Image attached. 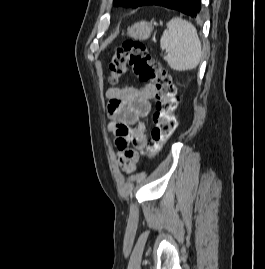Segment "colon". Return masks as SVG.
I'll return each instance as SVG.
<instances>
[{
    "label": "colon",
    "instance_id": "obj_1",
    "mask_svg": "<svg viewBox=\"0 0 265 269\" xmlns=\"http://www.w3.org/2000/svg\"><path fill=\"white\" fill-rule=\"evenodd\" d=\"M128 69L141 82L153 84L155 87L154 126L147 148L149 155H155L168 142L176 129V87L169 72L148 53L146 46L139 41L128 40L115 49L109 63L110 83H119ZM116 132L119 135L131 136V131L123 124L118 126Z\"/></svg>",
    "mask_w": 265,
    "mask_h": 269
}]
</instances>
